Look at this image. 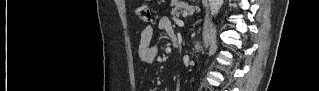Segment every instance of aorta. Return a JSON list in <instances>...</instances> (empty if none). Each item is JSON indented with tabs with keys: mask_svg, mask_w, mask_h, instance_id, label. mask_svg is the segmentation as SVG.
Returning <instances> with one entry per match:
<instances>
[{
	"mask_svg": "<svg viewBox=\"0 0 319 91\" xmlns=\"http://www.w3.org/2000/svg\"><path fill=\"white\" fill-rule=\"evenodd\" d=\"M224 0H209V6L211 15H217L221 6L223 5Z\"/></svg>",
	"mask_w": 319,
	"mask_h": 91,
	"instance_id": "762f6f07",
	"label": "aorta"
}]
</instances>
